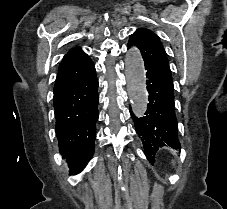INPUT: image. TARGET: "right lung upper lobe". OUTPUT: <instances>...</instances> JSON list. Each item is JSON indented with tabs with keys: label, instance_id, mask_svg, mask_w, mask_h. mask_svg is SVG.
<instances>
[{
	"label": "right lung upper lobe",
	"instance_id": "right-lung-upper-lobe-1",
	"mask_svg": "<svg viewBox=\"0 0 227 209\" xmlns=\"http://www.w3.org/2000/svg\"><path fill=\"white\" fill-rule=\"evenodd\" d=\"M91 59L88 55L83 52L80 48H75L69 51L64 57L62 62L60 63L59 67H64L66 65L70 66H85L91 63ZM75 79L72 78L71 80H64L55 84L54 87V94H59L63 92Z\"/></svg>",
	"mask_w": 227,
	"mask_h": 209
}]
</instances>
